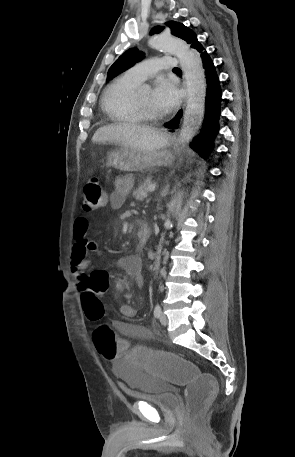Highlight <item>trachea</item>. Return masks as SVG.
<instances>
[{
	"label": "trachea",
	"instance_id": "obj_1",
	"mask_svg": "<svg viewBox=\"0 0 295 457\" xmlns=\"http://www.w3.org/2000/svg\"><path fill=\"white\" fill-rule=\"evenodd\" d=\"M174 70H179V68H175Z\"/></svg>",
	"mask_w": 295,
	"mask_h": 457
}]
</instances>
